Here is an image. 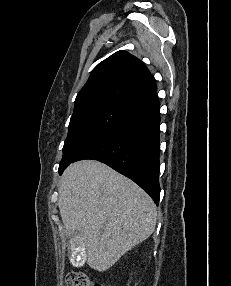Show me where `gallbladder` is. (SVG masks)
<instances>
[{
    "label": "gallbladder",
    "mask_w": 231,
    "mask_h": 286,
    "mask_svg": "<svg viewBox=\"0 0 231 286\" xmlns=\"http://www.w3.org/2000/svg\"><path fill=\"white\" fill-rule=\"evenodd\" d=\"M73 238H70L68 240V257L70 263H73L74 267H80L83 266L86 263V247H84V240H81L82 237L80 236H72Z\"/></svg>",
    "instance_id": "1"
}]
</instances>
